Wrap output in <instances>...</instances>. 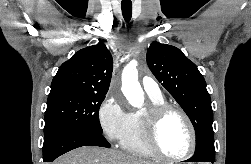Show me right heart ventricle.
Masks as SVG:
<instances>
[{"mask_svg":"<svg viewBox=\"0 0 251 164\" xmlns=\"http://www.w3.org/2000/svg\"><path fill=\"white\" fill-rule=\"evenodd\" d=\"M152 105L164 103L162 96L150 97ZM121 148L126 152L145 157L156 158L157 156L149 149L144 136L142 117L139 113H130L129 124L126 133L120 141Z\"/></svg>","mask_w":251,"mask_h":164,"instance_id":"right-heart-ventricle-1","label":"right heart ventricle"}]
</instances>
